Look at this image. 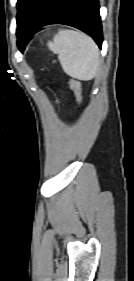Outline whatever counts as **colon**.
Here are the masks:
<instances>
[{"mask_svg": "<svg viewBox=\"0 0 134 281\" xmlns=\"http://www.w3.org/2000/svg\"><path fill=\"white\" fill-rule=\"evenodd\" d=\"M69 85L75 95L76 101L79 105H82V91L80 83L75 79H70Z\"/></svg>", "mask_w": 134, "mask_h": 281, "instance_id": "obj_1", "label": "colon"}]
</instances>
